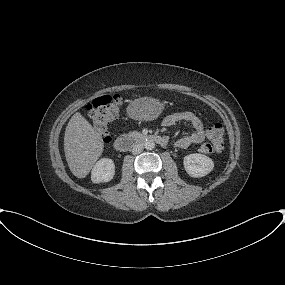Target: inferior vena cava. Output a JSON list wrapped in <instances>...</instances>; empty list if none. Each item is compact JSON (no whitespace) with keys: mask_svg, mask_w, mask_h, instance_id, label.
Here are the masks:
<instances>
[{"mask_svg":"<svg viewBox=\"0 0 285 285\" xmlns=\"http://www.w3.org/2000/svg\"><path fill=\"white\" fill-rule=\"evenodd\" d=\"M143 148H144L143 144L141 143L135 144L132 148V154L134 155L140 154L143 151Z\"/></svg>","mask_w":285,"mask_h":285,"instance_id":"inferior-vena-cava-1","label":"inferior vena cava"}]
</instances>
